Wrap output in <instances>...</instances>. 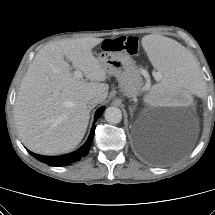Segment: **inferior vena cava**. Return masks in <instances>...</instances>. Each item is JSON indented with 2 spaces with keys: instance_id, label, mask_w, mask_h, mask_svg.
Masks as SVG:
<instances>
[{
  "instance_id": "inferior-vena-cava-1",
  "label": "inferior vena cava",
  "mask_w": 215,
  "mask_h": 215,
  "mask_svg": "<svg viewBox=\"0 0 215 215\" xmlns=\"http://www.w3.org/2000/svg\"><path fill=\"white\" fill-rule=\"evenodd\" d=\"M98 103H100V99L98 97H94L87 102V105L90 109H93Z\"/></svg>"
}]
</instances>
